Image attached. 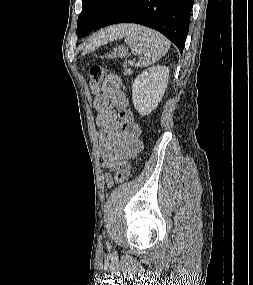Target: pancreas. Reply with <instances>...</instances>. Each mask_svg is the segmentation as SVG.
<instances>
[{
  "instance_id": "1",
  "label": "pancreas",
  "mask_w": 253,
  "mask_h": 285,
  "mask_svg": "<svg viewBox=\"0 0 253 285\" xmlns=\"http://www.w3.org/2000/svg\"><path fill=\"white\" fill-rule=\"evenodd\" d=\"M132 73H133V71H132L131 69L125 68V70H124V74H125V75H130V74H132Z\"/></svg>"
}]
</instances>
